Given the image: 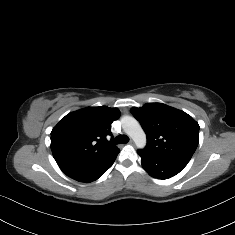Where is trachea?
I'll use <instances>...</instances> for the list:
<instances>
[{
  "label": "trachea",
  "mask_w": 235,
  "mask_h": 235,
  "mask_svg": "<svg viewBox=\"0 0 235 235\" xmlns=\"http://www.w3.org/2000/svg\"><path fill=\"white\" fill-rule=\"evenodd\" d=\"M129 142V137L126 135H118L114 140V144H126Z\"/></svg>",
  "instance_id": "trachea-1"
}]
</instances>
